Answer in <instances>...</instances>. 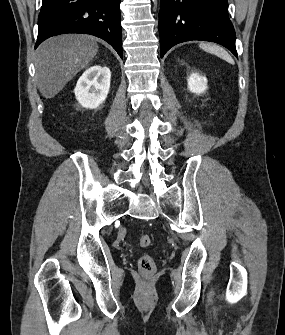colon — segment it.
I'll return each mask as SVG.
<instances>
[{
    "label": "colon",
    "mask_w": 285,
    "mask_h": 335,
    "mask_svg": "<svg viewBox=\"0 0 285 335\" xmlns=\"http://www.w3.org/2000/svg\"><path fill=\"white\" fill-rule=\"evenodd\" d=\"M139 245L142 247H147L151 243V238L148 234H141L138 238ZM139 270L145 275H152L156 270L155 260L150 255H144L139 260Z\"/></svg>",
    "instance_id": "5ec220e1"
}]
</instances>
